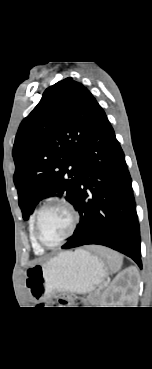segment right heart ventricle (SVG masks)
<instances>
[{
  "label": "right heart ventricle",
  "instance_id": "right-heart-ventricle-1",
  "mask_svg": "<svg viewBox=\"0 0 152 369\" xmlns=\"http://www.w3.org/2000/svg\"><path fill=\"white\" fill-rule=\"evenodd\" d=\"M30 240H31V243H32V246H33L34 250L37 253H42L44 251L43 248H41L38 245V243L36 242V240L34 238V234H33V221H31V223H30Z\"/></svg>",
  "mask_w": 152,
  "mask_h": 369
}]
</instances>
